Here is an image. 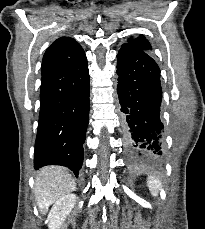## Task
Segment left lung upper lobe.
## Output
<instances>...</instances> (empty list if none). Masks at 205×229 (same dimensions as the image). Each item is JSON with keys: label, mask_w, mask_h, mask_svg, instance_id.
<instances>
[{"label": "left lung upper lobe", "mask_w": 205, "mask_h": 229, "mask_svg": "<svg viewBox=\"0 0 205 229\" xmlns=\"http://www.w3.org/2000/svg\"><path fill=\"white\" fill-rule=\"evenodd\" d=\"M127 43L132 44L146 52H150L151 50L150 43L143 35H141L140 37H136V38H130Z\"/></svg>", "instance_id": "1"}]
</instances>
